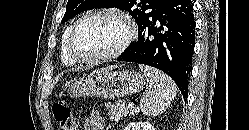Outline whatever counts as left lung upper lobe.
<instances>
[{"label":"left lung upper lobe","mask_w":249,"mask_h":130,"mask_svg":"<svg viewBox=\"0 0 249 130\" xmlns=\"http://www.w3.org/2000/svg\"><path fill=\"white\" fill-rule=\"evenodd\" d=\"M161 0H68L62 23L77 14L94 8L116 7L128 11L135 19L138 28L156 9Z\"/></svg>","instance_id":"left-lung-upper-lobe-1"}]
</instances>
